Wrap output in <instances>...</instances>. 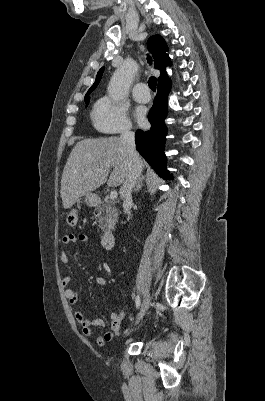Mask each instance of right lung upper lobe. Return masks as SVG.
Wrapping results in <instances>:
<instances>
[{
  "label": "right lung upper lobe",
  "instance_id": "obj_1",
  "mask_svg": "<svg viewBox=\"0 0 265 401\" xmlns=\"http://www.w3.org/2000/svg\"><path fill=\"white\" fill-rule=\"evenodd\" d=\"M147 47L153 55L155 67L161 72L158 78V86H170V79L168 78L165 70V68L170 65V59L165 53L168 50L166 42L160 35H154L149 38ZM103 71L104 67L99 70L94 84L88 90L85 96V101L89 99V94L96 88V86L100 82Z\"/></svg>",
  "mask_w": 265,
  "mask_h": 401
}]
</instances>
